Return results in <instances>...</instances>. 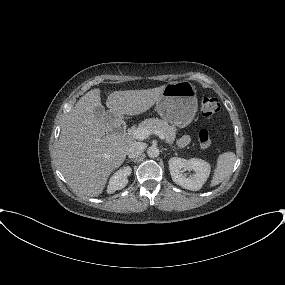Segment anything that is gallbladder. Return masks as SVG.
Segmentation results:
<instances>
[{
  "label": "gallbladder",
  "instance_id": "1",
  "mask_svg": "<svg viewBox=\"0 0 285 285\" xmlns=\"http://www.w3.org/2000/svg\"><path fill=\"white\" fill-rule=\"evenodd\" d=\"M94 115L95 117L97 118V120L99 121V123L101 124L102 128L103 129H107V112L105 111L104 107L102 105L100 106H97L95 109H94Z\"/></svg>",
  "mask_w": 285,
  "mask_h": 285
}]
</instances>
